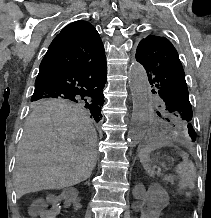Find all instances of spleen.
<instances>
[{
  "mask_svg": "<svg viewBox=\"0 0 211 218\" xmlns=\"http://www.w3.org/2000/svg\"><path fill=\"white\" fill-rule=\"evenodd\" d=\"M149 154L150 152H140L139 158L147 174H149V176H154L155 172L153 168H150V164H148V162H150ZM181 154H182L183 162H181V164H178L175 170L178 176H180L179 188L180 190H183V188H187L189 184H192V182H194L196 178V172H195V166L193 162H190V160H188L187 154H184V152H181Z\"/></svg>",
  "mask_w": 211,
  "mask_h": 218,
  "instance_id": "spleen-1",
  "label": "spleen"
}]
</instances>
